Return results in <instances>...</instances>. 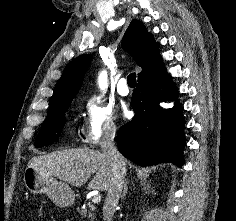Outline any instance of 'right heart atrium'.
<instances>
[{"label":"right heart atrium","instance_id":"d8ad5b80","mask_svg":"<svg viewBox=\"0 0 236 221\" xmlns=\"http://www.w3.org/2000/svg\"><path fill=\"white\" fill-rule=\"evenodd\" d=\"M116 131L117 125L113 109L100 99H88L85 104L83 141L94 146L101 140L113 136Z\"/></svg>","mask_w":236,"mask_h":221}]
</instances>
